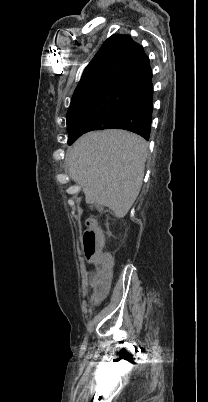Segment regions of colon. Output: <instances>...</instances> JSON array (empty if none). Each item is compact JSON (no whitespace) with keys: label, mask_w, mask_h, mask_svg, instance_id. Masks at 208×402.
<instances>
[{"label":"colon","mask_w":208,"mask_h":402,"mask_svg":"<svg viewBox=\"0 0 208 402\" xmlns=\"http://www.w3.org/2000/svg\"><path fill=\"white\" fill-rule=\"evenodd\" d=\"M88 224H90V221H88ZM82 238L86 241L83 254L86 256L88 264L97 265L98 275L100 276L97 282L93 284V289L97 291L98 295H111L112 288L108 284L107 277L111 275L115 260L113 256H110L108 250H102L105 244L104 232H95L92 227L89 232L83 233ZM89 275H94V270H89ZM90 306L97 308L99 301L92 299Z\"/></svg>","instance_id":"1"}]
</instances>
